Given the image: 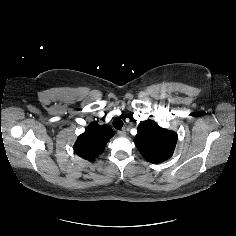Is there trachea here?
<instances>
[{
	"mask_svg": "<svg viewBox=\"0 0 236 236\" xmlns=\"http://www.w3.org/2000/svg\"><path fill=\"white\" fill-rule=\"evenodd\" d=\"M113 126L115 129L120 130L123 127V121L120 118H115L113 120Z\"/></svg>",
	"mask_w": 236,
	"mask_h": 236,
	"instance_id": "obj_1",
	"label": "trachea"
}]
</instances>
